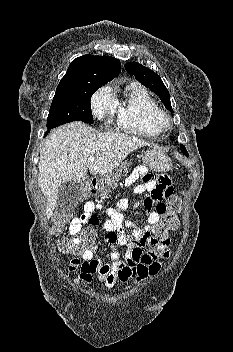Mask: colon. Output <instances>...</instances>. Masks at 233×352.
I'll list each match as a JSON object with an SVG mask.
<instances>
[{"label":"colon","mask_w":233,"mask_h":352,"mask_svg":"<svg viewBox=\"0 0 233 352\" xmlns=\"http://www.w3.org/2000/svg\"><path fill=\"white\" fill-rule=\"evenodd\" d=\"M85 196L87 195L84 194ZM161 214L159 223L154 228L155 237H149L152 243L165 244L170 231L179 225L178 214L181 211V199L178 196H170L166 203L157 207ZM67 223L65 216H59L55 220L53 232L59 233ZM95 242V232L92 229H85L79 235L72 237H60L57 239L59 251L68 255H79L90 248Z\"/></svg>","instance_id":"obj_1"}]
</instances>
